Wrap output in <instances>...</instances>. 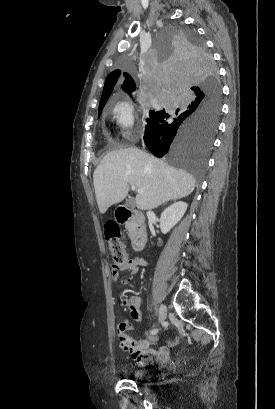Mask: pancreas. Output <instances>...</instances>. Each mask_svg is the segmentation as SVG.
Listing matches in <instances>:
<instances>
[{
	"label": "pancreas",
	"mask_w": 275,
	"mask_h": 409,
	"mask_svg": "<svg viewBox=\"0 0 275 409\" xmlns=\"http://www.w3.org/2000/svg\"><path fill=\"white\" fill-rule=\"evenodd\" d=\"M136 227L137 225L136 223H133V221H130V223H125V229H127L129 237L134 235Z\"/></svg>",
	"instance_id": "pancreas-1"
}]
</instances>
